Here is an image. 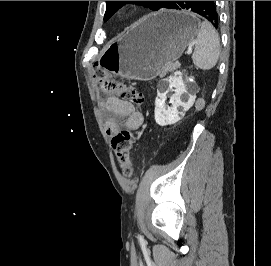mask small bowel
Returning a JSON list of instances; mask_svg holds the SVG:
<instances>
[{"label":"small bowel","instance_id":"obj_1","mask_svg":"<svg viewBox=\"0 0 271 266\" xmlns=\"http://www.w3.org/2000/svg\"><path fill=\"white\" fill-rule=\"evenodd\" d=\"M101 107L104 113L110 114L106 121L108 135H113L118 131L121 120H123L125 128L130 131L140 129L143 124V114L135 110L133 104L129 101L116 96H109L102 101Z\"/></svg>","mask_w":271,"mask_h":266}]
</instances>
